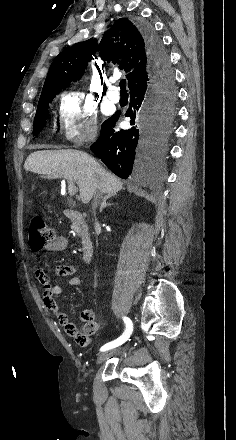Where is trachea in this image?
<instances>
[{"label": "trachea", "instance_id": "trachea-1", "mask_svg": "<svg viewBox=\"0 0 236 440\" xmlns=\"http://www.w3.org/2000/svg\"><path fill=\"white\" fill-rule=\"evenodd\" d=\"M121 91H126V80L122 79L119 83Z\"/></svg>", "mask_w": 236, "mask_h": 440}]
</instances>
